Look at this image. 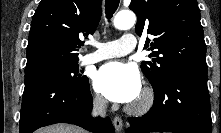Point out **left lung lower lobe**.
I'll use <instances>...</instances> for the list:
<instances>
[{"mask_svg":"<svg viewBox=\"0 0 221 133\" xmlns=\"http://www.w3.org/2000/svg\"><path fill=\"white\" fill-rule=\"evenodd\" d=\"M127 132L212 133L207 74L178 71L154 89V104L140 118H129Z\"/></svg>","mask_w":221,"mask_h":133,"instance_id":"obj_1","label":"left lung lower lobe"}]
</instances>
